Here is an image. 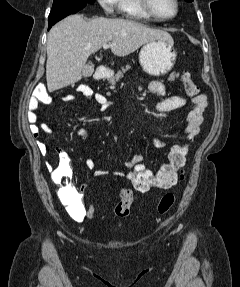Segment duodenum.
Masks as SVG:
<instances>
[{
	"label": "duodenum",
	"mask_w": 240,
	"mask_h": 287,
	"mask_svg": "<svg viewBox=\"0 0 240 287\" xmlns=\"http://www.w3.org/2000/svg\"><path fill=\"white\" fill-rule=\"evenodd\" d=\"M109 69L105 65H99L95 71L94 78L101 80L108 75Z\"/></svg>",
	"instance_id": "duodenum-1"
}]
</instances>
